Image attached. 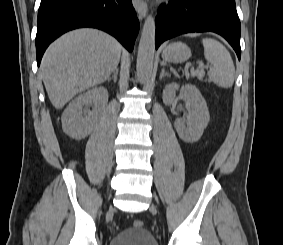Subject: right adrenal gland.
Returning <instances> with one entry per match:
<instances>
[{
  "label": "right adrenal gland",
  "mask_w": 283,
  "mask_h": 245,
  "mask_svg": "<svg viewBox=\"0 0 283 245\" xmlns=\"http://www.w3.org/2000/svg\"><path fill=\"white\" fill-rule=\"evenodd\" d=\"M118 71H119L118 69H115V71L112 73V77H109L107 79V81L110 82L113 79L114 82H116L117 81V76H118Z\"/></svg>",
  "instance_id": "2a0ac1e0"
}]
</instances>
